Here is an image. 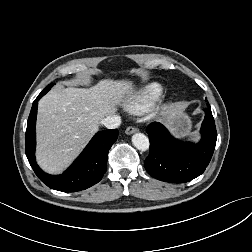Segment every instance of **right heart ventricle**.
Masks as SVG:
<instances>
[{
  "label": "right heart ventricle",
  "mask_w": 252,
  "mask_h": 252,
  "mask_svg": "<svg viewBox=\"0 0 252 252\" xmlns=\"http://www.w3.org/2000/svg\"><path fill=\"white\" fill-rule=\"evenodd\" d=\"M164 87L158 82H150L130 94L125 102V108L132 114H142L152 107L162 96Z\"/></svg>",
  "instance_id": "1"
}]
</instances>
